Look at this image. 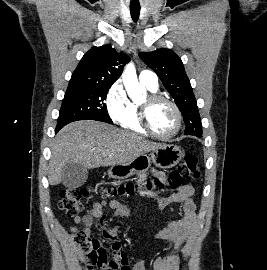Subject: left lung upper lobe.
Segmentation results:
<instances>
[{
    "label": "left lung upper lobe",
    "instance_id": "obj_1",
    "mask_svg": "<svg viewBox=\"0 0 267 270\" xmlns=\"http://www.w3.org/2000/svg\"><path fill=\"white\" fill-rule=\"evenodd\" d=\"M139 57L158 75L164 87L173 97L186 124V135L200 136L202 124L190 81L181 59L169 49L140 52Z\"/></svg>",
    "mask_w": 267,
    "mask_h": 270
}]
</instances>
